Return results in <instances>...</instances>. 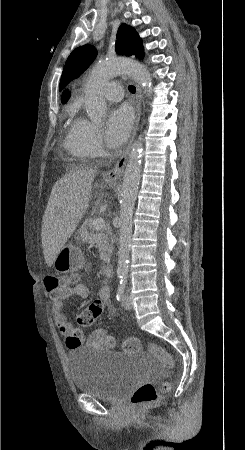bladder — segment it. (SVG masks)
<instances>
[{"label":"bladder","instance_id":"obj_1","mask_svg":"<svg viewBox=\"0 0 245 450\" xmlns=\"http://www.w3.org/2000/svg\"><path fill=\"white\" fill-rule=\"evenodd\" d=\"M67 358L75 390L103 400H119L146 376L139 355L74 348L68 350Z\"/></svg>","mask_w":245,"mask_h":450}]
</instances>
